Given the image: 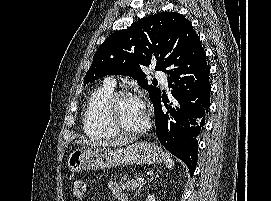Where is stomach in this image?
<instances>
[{
    "mask_svg": "<svg viewBox=\"0 0 271 201\" xmlns=\"http://www.w3.org/2000/svg\"><path fill=\"white\" fill-rule=\"evenodd\" d=\"M163 154L160 147L144 141L126 148L83 147L69 154L66 165L74 173L134 164H154L162 160Z\"/></svg>",
    "mask_w": 271,
    "mask_h": 201,
    "instance_id": "0dacf381",
    "label": "stomach"
}]
</instances>
